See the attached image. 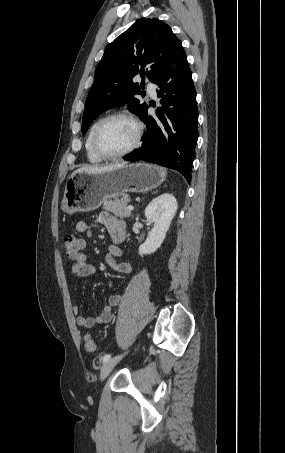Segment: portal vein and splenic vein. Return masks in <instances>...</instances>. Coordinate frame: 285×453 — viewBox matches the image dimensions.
<instances>
[{"label": "portal vein and splenic vein", "mask_w": 285, "mask_h": 453, "mask_svg": "<svg viewBox=\"0 0 285 453\" xmlns=\"http://www.w3.org/2000/svg\"><path fill=\"white\" fill-rule=\"evenodd\" d=\"M127 209H129V210H133V209H134V207H133V205H128V206H127Z\"/></svg>", "instance_id": "obj_1"}]
</instances>
